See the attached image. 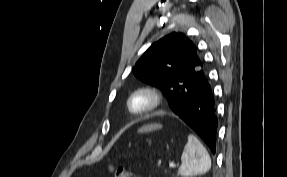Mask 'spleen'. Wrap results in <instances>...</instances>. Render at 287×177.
<instances>
[{
	"label": "spleen",
	"instance_id": "obj_1",
	"mask_svg": "<svg viewBox=\"0 0 287 177\" xmlns=\"http://www.w3.org/2000/svg\"><path fill=\"white\" fill-rule=\"evenodd\" d=\"M181 161L178 173L183 177L204 174L211 168V158L206 148L194 135L188 136Z\"/></svg>",
	"mask_w": 287,
	"mask_h": 177
}]
</instances>
